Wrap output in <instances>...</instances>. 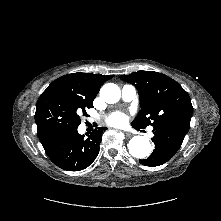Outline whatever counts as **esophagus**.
<instances>
[{
    "mask_svg": "<svg viewBox=\"0 0 221 221\" xmlns=\"http://www.w3.org/2000/svg\"><path fill=\"white\" fill-rule=\"evenodd\" d=\"M125 134L126 137H131V133L124 131L123 132Z\"/></svg>",
    "mask_w": 221,
    "mask_h": 221,
    "instance_id": "1",
    "label": "esophagus"
}]
</instances>
